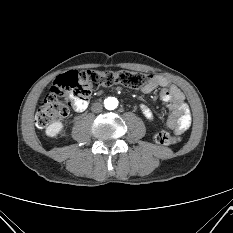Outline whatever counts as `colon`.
<instances>
[{"mask_svg":"<svg viewBox=\"0 0 233 233\" xmlns=\"http://www.w3.org/2000/svg\"><path fill=\"white\" fill-rule=\"evenodd\" d=\"M150 81L146 73L132 71H68L59 75L50 92L45 96L35 115V124L39 129H45L52 122L59 121L75 109L78 102L86 101L92 92L100 87L123 85L128 88L139 89ZM154 141L163 146L180 142L178 133L170 134L166 131L157 132Z\"/></svg>","mask_w":233,"mask_h":233,"instance_id":"5ec220e1","label":"colon"}]
</instances>
